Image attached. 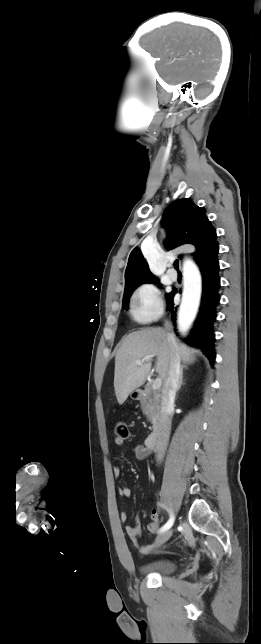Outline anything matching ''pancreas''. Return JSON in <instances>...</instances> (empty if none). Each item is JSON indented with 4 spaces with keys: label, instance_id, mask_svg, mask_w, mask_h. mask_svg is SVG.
<instances>
[{
    "label": "pancreas",
    "instance_id": "pancreas-1",
    "mask_svg": "<svg viewBox=\"0 0 261 644\" xmlns=\"http://www.w3.org/2000/svg\"><path fill=\"white\" fill-rule=\"evenodd\" d=\"M147 394H148V396L144 397L141 400V407H142V411H143L144 415L147 417L148 421L153 423L154 422V416H153V412H152V409H151V403L153 402L154 404H156L157 400L154 397L153 392L151 391L150 388L147 390Z\"/></svg>",
    "mask_w": 261,
    "mask_h": 644
}]
</instances>
